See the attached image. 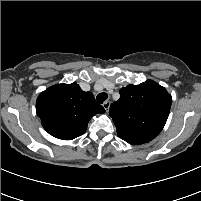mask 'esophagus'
Returning <instances> with one entry per match:
<instances>
[{"label": "esophagus", "mask_w": 201, "mask_h": 201, "mask_svg": "<svg viewBox=\"0 0 201 201\" xmlns=\"http://www.w3.org/2000/svg\"><path fill=\"white\" fill-rule=\"evenodd\" d=\"M103 108L106 110V112H108L109 111V108H110V101H105L104 103H103Z\"/></svg>", "instance_id": "obj_1"}]
</instances>
